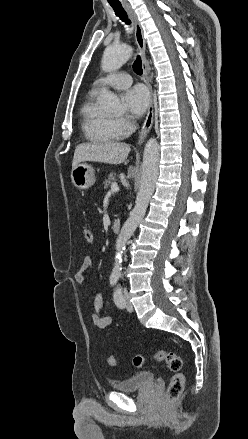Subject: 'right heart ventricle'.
Instances as JSON below:
<instances>
[{
  "label": "right heart ventricle",
  "instance_id": "right-heart-ventricle-1",
  "mask_svg": "<svg viewBox=\"0 0 248 439\" xmlns=\"http://www.w3.org/2000/svg\"><path fill=\"white\" fill-rule=\"evenodd\" d=\"M97 92L91 91L81 109V125L86 138L94 143H114L123 138L115 127L114 119L101 114L96 103Z\"/></svg>",
  "mask_w": 248,
  "mask_h": 439
}]
</instances>
